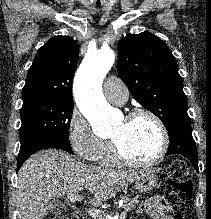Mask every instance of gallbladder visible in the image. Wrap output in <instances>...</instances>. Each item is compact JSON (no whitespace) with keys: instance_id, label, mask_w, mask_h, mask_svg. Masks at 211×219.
<instances>
[{"instance_id":"1","label":"gallbladder","mask_w":211,"mask_h":219,"mask_svg":"<svg viewBox=\"0 0 211 219\" xmlns=\"http://www.w3.org/2000/svg\"><path fill=\"white\" fill-rule=\"evenodd\" d=\"M48 208H49V211L55 215H61L66 210L64 204L55 199L49 202Z\"/></svg>"}]
</instances>
